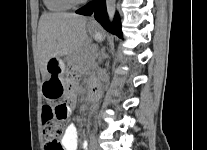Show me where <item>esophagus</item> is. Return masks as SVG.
Wrapping results in <instances>:
<instances>
[{
    "mask_svg": "<svg viewBox=\"0 0 207 150\" xmlns=\"http://www.w3.org/2000/svg\"><path fill=\"white\" fill-rule=\"evenodd\" d=\"M89 21H90V23H95V19H94V17H93V16L90 17Z\"/></svg>",
    "mask_w": 207,
    "mask_h": 150,
    "instance_id": "34e87169",
    "label": "esophagus"
}]
</instances>
